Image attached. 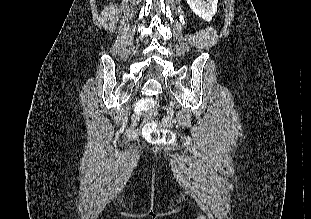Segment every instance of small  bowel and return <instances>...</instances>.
I'll list each match as a JSON object with an SVG mask.
<instances>
[{
  "label": "small bowel",
  "mask_w": 311,
  "mask_h": 219,
  "mask_svg": "<svg viewBox=\"0 0 311 219\" xmlns=\"http://www.w3.org/2000/svg\"><path fill=\"white\" fill-rule=\"evenodd\" d=\"M167 113L169 114V111H167ZM139 120H140V119H139L138 116H134V117L132 118V124H131V127L129 128V134H130L131 136L136 135V134L138 133L137 126H138ZM164 124H165V125H169V124H170L168 118H166V119L164 120Z\"/></svg>",
  "instance_id": "1"
}]
</instances>
